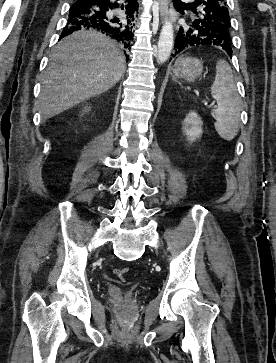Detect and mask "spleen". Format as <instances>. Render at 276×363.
I'll return each instance as SVG.
<instances>
[{
  "label": "spleen",
  "mask_w": 276,
  "mask_h": 363,
  "mask_svg": "<svg viewBox=\"0 0 276 363\" xmlns=\"http://www.w3.org/2000/svg\"><path fill=\"white\" fill-rule=\"evenodd\" d=\"M211 95L217 102V108L212 111V116L216 120L215 129L221 138L232 141L239 130L241 100L234 83L232 69L223 59L216 63Z\"/></svg>",
  "instance_id": "spleen-1"
}]
</instances>
